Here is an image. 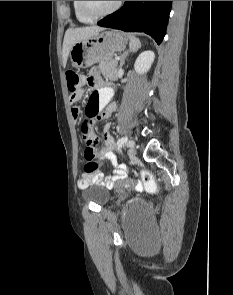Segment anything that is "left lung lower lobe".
Instances as JSON below:
<instances>
[{"label": "left lung lower lobe", "mask_w": 233, "mask_h": 295, "mask_svg": "<svg viewBox=\"0 0 233 295\" xmlns=\"http://www.w3.org/2000/svg\"><path fill=\"white\" fill-rule=\"evenodd\" d=\"M171 3L172 1H126L121 9L97 24L126 32H144L160 44L165 36Z\"/></svg>", "instance_id": "obj_1"}]
</instances>
